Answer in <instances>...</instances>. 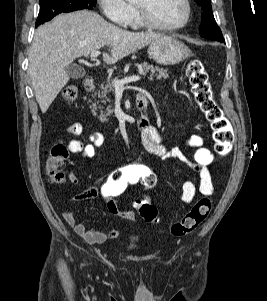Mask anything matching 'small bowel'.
I'll return each instance as SVG.
<instances>
[{
	"label": "small bowel",
	"instance_id": "1",
	"mask_svg": "<svg viewBox=\"0 0 267 301\" xmlns=\"http://www.w3.org/2000/svg\"><path fill=\"white\" fill-rule=\"evenodd\" d=\"M66 132L70 135L79 137L84 133V127L80 122H73L67 128ZM141 144L144 149L163 160H177L184 163L199 176L198 184L192 180H187L182 185V201L189 203L196 197L197 191L209 196L214 192V184L208 166L214 162L212 151L204 146V140L200 135L191 136L184 144L189 150L187 154L178 146L167 147L164 145L163 136L158 128L149 126L140 133ZM104 144V136L100 132H91L86 140L72 139L67 143L68 149L72 153L81 154L82 159H90L95 156L96 150ZM69 180L77 183V176L69 173ZM99 196V188L90 187L73 197L75 202H83L95 199ZM111 213L117 214L123 218L134 219L135 214L132 211H122L116 205ZM62 216L65 222L74 229V231L87 243L102 244L110 239L117 238L121 232L119 230H110L107 232L94 231L87 229L83 224L78 223L72 212L68 209H62Z\"/></svg>",
	"mask_w": 267,
	"mask_h": 301
}]
</instances>
